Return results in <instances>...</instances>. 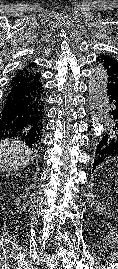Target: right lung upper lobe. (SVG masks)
<instances>
[{
	"mask_svg": "<svg viewBox=\"0 0 118 269\" xmlns=\"http://www.w3.org/2000/svg\"><path fill=\"white\" fill-rule=\"evenodd\" d=\"M35 64H30L27 68H24L22 70H19L16 74V76L11 81L10 85L14 86H38L40 89V92L38 93L35 103H36V120L39 127L43 128V118H44V89L41 83V77L40 74L33 70V67H35Z\"/></svg>",
	"mask_w": 118,
	"mask_h": 269,
	"instance_id": "right-lung-upper-lobe-1",
	"label": "right lung upper lobe"
}]
</instances>
